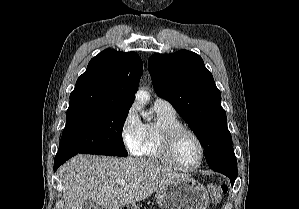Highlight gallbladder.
Masks as SVG:
<instances>
[{
    "label": "gallbladder",
    "instance_id": "1",
    "mask_svg": "<svg viewBox=\"0 0 299 209\" xmlns=\"http://www.w3.org/2000/svg\"><path fill=\"white\" fill-rule=\"evenodd\" d=\"M82 209H100L99 205L96 204L94 201L91 199H87L82 206Z\"/></svg>",
    "mask_w": 299,
    "mask_h": 209
}]
</instances>
